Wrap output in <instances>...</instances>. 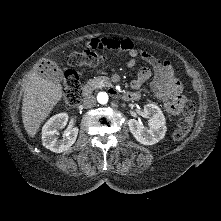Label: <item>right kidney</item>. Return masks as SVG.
Masks as SVG:
<instances>
[{
	"label": "right kidney",
	"instance_id": "obj_1",
	"mask_svg": "<svg viewBox=\"0 0 221 221\" xmlns=\"http://www.w3.org/2000/svg\"><path fill=\"white\" fill-rule=\"evenodd\" d=\"M67 113H59L51 117L42 128L43 146L55 153L68 150L76 141L79 129L77 127L67 130L63 139H58V130L66 126Z\"/></svg>",
	"mask_w": 221,
	"mask_h": 221
}]
</instances>
